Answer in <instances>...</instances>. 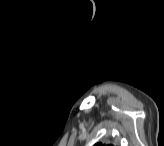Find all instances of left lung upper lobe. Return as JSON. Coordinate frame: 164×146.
I'll list each match as a JSON object with an SVG mask.
<instances>
[{
	"label": "left lung upper lobe",
	"mask_w": 164,
	"mask_h": 146,
	"mask_svg": "<svg viewBox=\"0 0 164 146\" xmlns=\"http://www.w3.org/2000/svg\"><path fill=\"white\" fill-rule=\"evenodd\" d=\"M98 145H99V146H101V143H99V144H96L95 146H98Z\"/></svg>",
	"instance_id": "1"
}]
</instances>
